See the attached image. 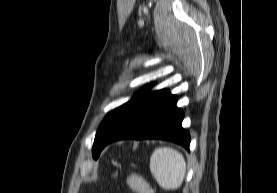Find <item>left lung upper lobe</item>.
Masks as SVG:
<instances>
[{"mask_svg":"<svg viewBox=\"0 0 277 193\" xmlns=\"http://www.w3.org/2000/svg\"><path fill=\"white\" fill-rule=\"evenodd\" d=\"M148 88V87H147ZM143 95V93H138L136 94L130 101H128L127 103H125L124 105L116 108L115 110L111 111L110 113H108L106 115V117L103 119V121L101 122L97 132H96V136H95V140H94V144H93V148H92V154L93 157L95 159H97L100 155L101 152V148H100V141L103 137V135L105 134V132L107 131V129L110 127V125L112 124V122L115 120V118H117L129 105H131L133 102H135L136 100H138L139 98H141Z\"/></svg>","mask_w":277,"mask_h":193,"instance_id":"1","label":"left lung upper lobe"}]
</instances>
